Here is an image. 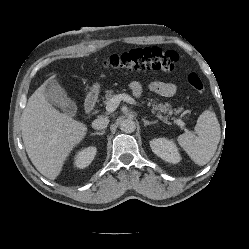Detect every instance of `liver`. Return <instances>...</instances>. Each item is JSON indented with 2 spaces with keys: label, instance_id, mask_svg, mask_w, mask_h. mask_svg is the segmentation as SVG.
<instances>
[{
  "label": "liver",
  "instance_id": "liver-1",
  "mask_svg": "<svg viewBox=\"0 0 249 249\" xmlns=\"http://www.w3.org/2000/svg\"><path fill=\"white\" fill-rule=\"evenodd\" d=\"M55 77L56 74L48 80ZM47 81L28 99L21 116V131L32 164L42 175L54 180L72 149L85 137L87 126L60 113L47 101L44 96Z\"/></svg>",
  "mask_w": 249,
  "mask_h": 249
}]
</instances>
